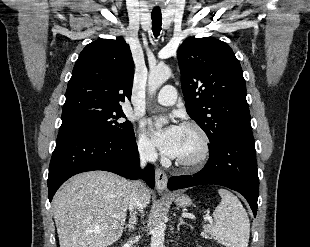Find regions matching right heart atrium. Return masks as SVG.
I'll use <instances>...</instances> for the list:
<instances>
[{
	"label": "right heart atrium",
	"mask_w": 310,
	"mask_h": 247,
	"mask_svg": "<svg viewBox=\"0 0 310 247\" xmlns=\"http://www.w3.org/2000/svg\"><path fill=\"white\" fill-rule=\"evenodd\" d=\"M137 149L139 154L147 160H152L157 155L153 142L147 136L143 129H140L138 132Z\"/></svg>",
	"instance_id": "obj_1"
}]
</instances>
